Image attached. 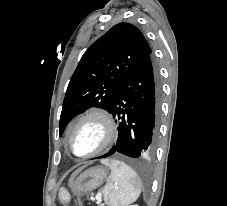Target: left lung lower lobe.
<instances>
[{"mask_svg":"<svg viewBox=\"0 0 227 206\" xmlns=\"http://www.w3.org/2000/svg\"><path fill=\"white\" fill-rule=\"evenodd\" d=\"M161 87L152 58H147L122 84L110 113L118 123L119 136L111 150L138 158L149 155L158 134Z\"/></svg>","mask_w":227,"mask_h":206,"instance_id":"1","label":"left lung lower lobe"}]
</instances>
